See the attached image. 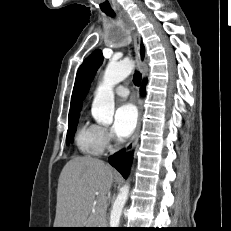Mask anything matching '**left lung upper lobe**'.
Returning <instances> with one entry per match:
<instances>
[{"instance_id": "5c2ea615", "label": "left lung upper lobe", "mask_w": 231, "mask_h": 231, "mask_svg": "<svg viewBox=\"0 0 231 231\" xmlns=\"http://www.w3.org/2000/svg\"><path fill=\"white\" fill-rule=\"evenodd\" d=\"M102 61H103V55H102L101 50H95L90 55L89 60H88L87 69H86L83 95L87 94L89 87H90V83L92 82Z\"/></svg>"}]
</instances>
